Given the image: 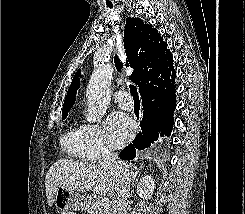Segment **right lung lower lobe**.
<instances>
[{
	"label": "right lung lower lobe",
	"mask_w": 245,
	"mask_h": 214,
	"mask_svg": "<svg viewBox=\"0 0 245 214\" xmlns=\"http://www.w3.org/2000/svg\"><path fill=\"white\" fill-rule=\"evenodd\" d=\"M173 57L157 66L147 75L139 88L143 104V118L140 122L142 132L120 152L123 160H132L136 149L143 150L151 146L159 135L170 136L173 127V111L176 108Z\"/></svg>",
	"instance_id": "obj_1"
}]
</instances>
